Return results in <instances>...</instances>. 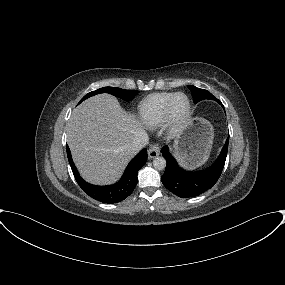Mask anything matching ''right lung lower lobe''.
Instances as JSON below:
<instances>
[{"mask_svg":"<svg viewBox=\"0 0 285 285\" xmlns=\"http://www.w3.org/2000/svg\"><path fill=\"white\" fill-rule=\"evenodd\" d=\"M67 147V156L71 165L74 177L81 189L90 197L103 203H118L127 198L137 185V174L140 168L147 161V151L143 149L136 157H134L127 166L122 178L113 185L97 186L84 181L75 167L70 149Z\"/></svg>","mask_w":285,"mask_h":285,"instance_id":"right-lung-lower-lobe-1","label":"right lung lower lobe"}]
</instances>
